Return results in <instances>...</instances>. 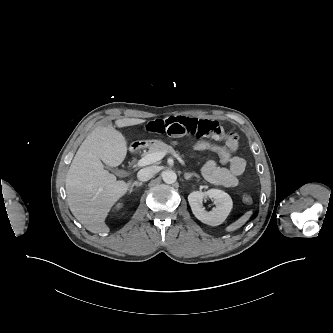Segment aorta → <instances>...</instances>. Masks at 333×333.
Wrapping results in <instances>:
<instances>
[{
  "mask_svg": "<svg viewBox=\"0 0 333 333\" xmlns=\"http://www.w3.org/2000/svg\"><path fill=\"white\" fill-rule=\"evenodd\" d=\"M163 181L167 184H173L177 180V175L174 171L172 170H167L163 173L162 175Z\"/></svg>",
  "mask_w": 333,
  "mask_h": 333,
  "instance_id": "aorta-1",
  "label": "aorta"
}]
</instances>
